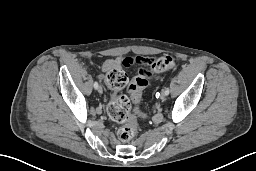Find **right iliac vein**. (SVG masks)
<instances>
[{
    "label": "right iliac vein",
    "mask_w": 256,
    "mask_h": 171,
    "mask_svg": "<svg viewBox=\"0 0 256 171\" xmlns=\"http://www.w3.org/2000/svg\"><path fill=\"white\" fill-rule=\"evenodd\" d=\"M97 90H98V92H99V93H102V92H103V89H102V87H101V86H100V87H98V88H97Z\"/></svg>",
    "instance_id": "1"
}]
</instances>
